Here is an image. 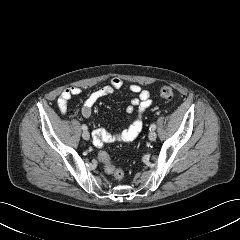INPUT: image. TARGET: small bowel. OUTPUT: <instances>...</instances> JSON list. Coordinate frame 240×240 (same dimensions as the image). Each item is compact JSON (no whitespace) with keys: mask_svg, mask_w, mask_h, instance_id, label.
<instances>
[{"mask_svg":"<svg viewBox=\"0 0 240 240\" xmlns=\"http://www.w3.org/2000/svg\"><path fill=\"white\" fill-rule=\"evenodd\" d=\"M123 87V81L119 78H112L108 85H105L92 92L84 101L81 114L84 118H89L92 114L94 104L102 97L112 95L116 90ZM129 90L137 96L130 101L126 111L130 114L136 112V117L127 128L121 131L110 132L105 129H97L93 136L97 144L113 142L133 141L144 125L143 113L151 105L150 94L138 84H131ZM81 94V89L77 86L65 88L58 97L57 106L62 114L67 111L68 101Z\"/></svg>","mask_w":240,"mask_h":240,"instance_id":"1","label":"small bowel"}]
</instances>
